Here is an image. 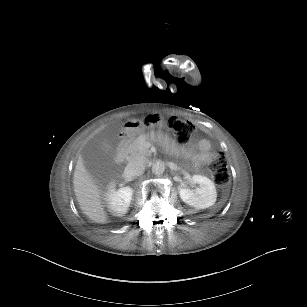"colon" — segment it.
Returning <instances> with one entry per match:
<instances>
[{
    "instance_id": "obj_1",
    "label": "colon",
    "mask_w": 307,
    "mask_h": 307,
    "mask_svg": "<svg viewBox=\"0 0 307 307\" xmlns=\"http://www.w3.org/2000/svg\"><path fill=\"white\" fill-rule=\"evenodd\" d=\"M171 132L180 144L187 143L195 133V127L178 117H171L168 121ZM210 169L216 184L226 185L229 180L227 157L223 154L214 156L211 161Z\"/></svg>"
}]
</instances>
